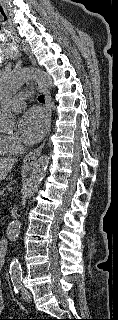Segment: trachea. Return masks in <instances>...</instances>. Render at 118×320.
<instances>
[{"instance_id": "3493384b", "label": "trachea", "mask_w": 118, "mask_h": 320, "mask_svg": "<svg viewBox=\"0 0 118 320\" xmlns=\"http://www.w3.org/2000/svg\"><path fill=\"white\" fill-rule=\"evenodd\" d=\"M38 101L41 102V103H44L45 99H44V96L43 95H40L38 97Z\"/></svg>"}]
</instances>
